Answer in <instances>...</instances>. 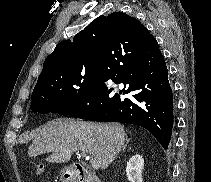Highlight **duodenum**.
I'll use <instances>...</instances> for the list:
<instances>
[{"instance_id": "obj_1", "label": "duodenum", "mask_w": 211, "mask_h": 182, "mask_svg": "<svg viewBox=\"0 0 211 182\" xmlns=\"http://www.w3.org/2000/svg\"><path fill=\"white\" fill-rule=\"evenodd\" d=\"M72 174L74 182H101L96 174L80 166L74 167Z\"/></svg>"}]
</instances>
